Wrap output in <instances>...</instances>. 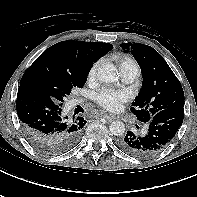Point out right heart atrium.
<instances>
[{
  "instance_id": "right-heart-atrium-1",
  "label": "right heart atrium",
  "mask_w": 197,
  "mask_h": 197,
  "mask_svg": "<svg viewBox=\"0 0 197 197\" xmlns=\"http://www.w3.org/2000/svg\"><path fill=\"white\" fill-rule=\"evenodd\" d=\"M99 64H100V62L97 61L91 66L89 73H88L89 80H94L96 78L97 69H98Z\"/></svg>"
}]
</instances>
